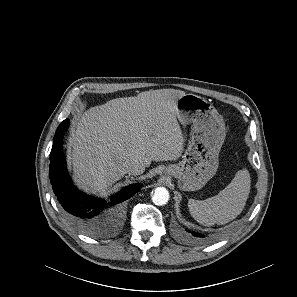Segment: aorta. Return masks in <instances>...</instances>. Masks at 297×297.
<instances>
[{
  "mask_svg": "<svg viewBox=\"0 0 297 297\" xmlns=\"http://www.w3.org/2000/svg\"><path fill=\"white\" fill-rule=\"evenodd\" d=\"M169 200V192L165 187H157L152 195V201L156 205H164Z\"/></svg>",
  "mask_w": 297,
  "mask_h": 297,
  "instance_id": "1",
  "label": "aorta"
}]
</instances>
